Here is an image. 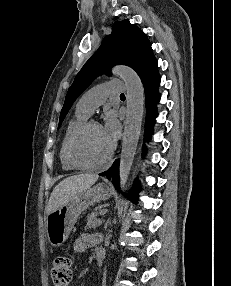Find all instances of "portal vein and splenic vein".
<instances>
[{
    "mask_svg": "<svg viewBox=\"0 0 231 286\" xmlns=\"http://www.w3.org/2000/svg\"><path fill=\"white\" fill-rule=\"evenodd\" d=\"M107 212H108L107 209H102L99 214L100 215H105Z\"/></svg>",
    "mask_w": 231,
    "mask_h": 286,
    "instance_id": "1",
    "label": "portal vein and splenic vein"
}]
</instances>
